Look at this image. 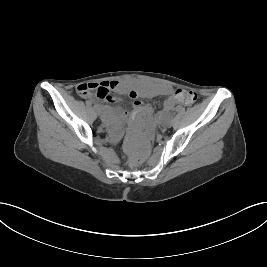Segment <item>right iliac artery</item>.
<instances>
[{
    "mask_svg": "<svg viewBox=\"0 0 267 267\" xmlns=\"http://www.w3.org/2000/svg\"><path fill=\"white\" fill-rule=\"evenodd\" d=\"M94 109H95V110H98L99 107H98L97 105H94Z\"/></svg>",
    "mask_w": 267,
    "mask_h": 267,
    "instance_id": "obj_1",
    "label": "right iliac artery"
}]
</instances>
